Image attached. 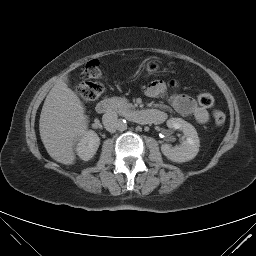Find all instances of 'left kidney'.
<instances>
[{"instance_id":"left-kidney-1","label":"left kidney","mask_w":256,"mask_h":256,"mask_svg":"<svg viewBox=\"0 0 256 256\" xmlns=\"http://www.w3.org/2000/svg\"><path fill=\"white\" fill-rule=\"evenodd\" d=\"M169 128L181 130L184 141L179 146L169 144L161 146L162 153L171 161L182 163L192 160L199 151L200 141L196 129L181 118H171L167 121Z\"/></svg>"}]
</instances>
